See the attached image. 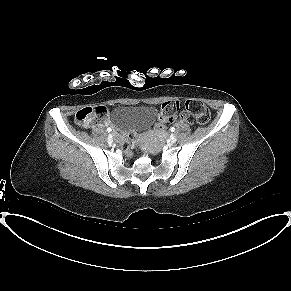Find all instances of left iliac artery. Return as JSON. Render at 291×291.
Segmentation results:
<instances>
[{
	"label": "left iliac artery",
	"mask_w": 291,
	"mask_h": 291,
	"mask_svg": "<svg viewBox=\"0 0 291 291\" xmlns=\"http://www.w3.org/2000/svg\"><path fill=\"white\" fill-rule=\"evenodd\" d=\"M172 132H174L175 131V128L174 127H171V129H170Z\"/></svg>",
	"instance_id": "44dca946"
}]
</instances>
